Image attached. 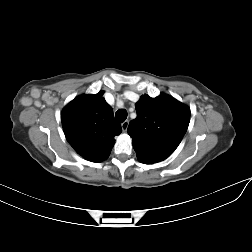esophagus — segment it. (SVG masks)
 Instances as JSON below:
<instances>
[{"label": "esophagus", "mask_w": 252, "mask_h": 252, "mask_svg": "<svg viewBox=\"0 0 252 252\" xmlns=\"http://www.w3.org/2000/svg\"><path fill=\"white\" fill-rule=\"evenodd\" d=\"M128 125H129V122H128V121H124V122L121 124L122 130H123L124 132L127 131Z\"/></svg>", "instance_id": "esophagus-1"}]
</instances>
